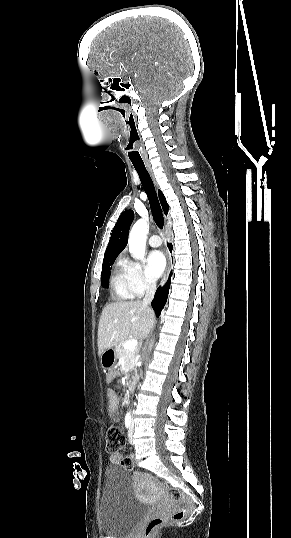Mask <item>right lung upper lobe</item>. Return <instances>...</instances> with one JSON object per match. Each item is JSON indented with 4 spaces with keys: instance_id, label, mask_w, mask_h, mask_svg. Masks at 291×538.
<instances>
[{
    "instance_id": "cb5924a9",
    "label": "right lung upper lobe",
    "mask_w": 291,
    "mask_h": 538,
    "mask_svg": "<svg viewBox=\"0 0 291 538\" xmlns=\"http://www.w3.org/2000/svg\"><path fill=\"white\" fill-rule=\"evenodd\" d=\"M158 195L162 208L165 214H167L169 206L166 199L160 190L158 191ZM133 218L134 213L132 210H127L119 216L118 221L112 231L110 241L105 252L104 261L115 259L117 255L126 247L128 242V232Z\"/></svg>"
}]
</instances>
